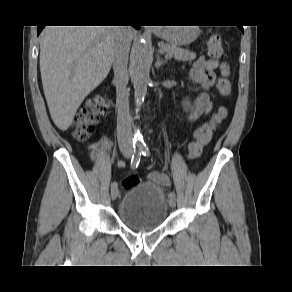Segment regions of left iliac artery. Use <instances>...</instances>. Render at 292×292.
<instances>
[{"label":"left iliac artery","instance_id":"44dca946","mask_svg":"<svg viewBox=\"0 0 292 292\" xmlns=\"http://www.w3.org/2000/svg\"><path fill=\"white\" fill-rule=\"evenodd\" d=\"M141 151H142V155L144 156H149L150 152H149V148L146 145L141 146ZM169 198H175V192H170L168 194Z\"/></svg>","mask_w":292,"mask_h":292}]
</instances>
